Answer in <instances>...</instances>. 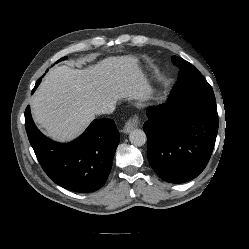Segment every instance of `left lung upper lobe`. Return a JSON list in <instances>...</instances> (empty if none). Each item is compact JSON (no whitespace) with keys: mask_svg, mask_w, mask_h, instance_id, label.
I'll return each mask as SVG.
<instances>
[{"mask_svg":"<svg viewBox=\"0 0 249 249\" xmlns=\"http://www.w3.org/2000/svg\"><path fill=\"white\" fill-rule=\"evenodd\" d=\"M172 62L180 69L178 81L172 91L177 95L178 99L194 97L215 99L212 87L191 63L177 56L172 57Z\"/></svg>","mask_w":249,"mask_h":249,"instance_id":"left-lung-upper-lobe-1","label":"left lung upper lobe"}]
</instances>
